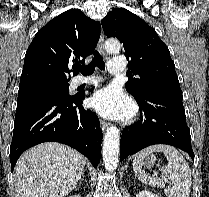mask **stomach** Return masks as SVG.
<instances>
[{"mask_svg":"<svg viewBox=\"0 0 209 197\" xmlns=\"http://www.w3.org/2000/svg\"><path fill=\"white\" fill-rule=\"evenodd\" d=\"M154 162H155V157L154 155L150 154L149 156L143 159L142 165L150 167L154 164Z\"/></svg>","mask_w":209,"mask_h":197,"instance_id":"1","label":"stomach"}]
</instances>
